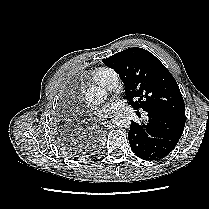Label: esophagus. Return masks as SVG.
Wrapping results in <instances>:
<instances>
[{"label":"esophagus","mask_w":209,"mask_h":209,"mask_svg":"<svg viewBox=\"0 0 209 209\" xmlns=\"http://www.w3.org/2000/svg\"><path fill=\"white\" fill-rule=\"evenodd\" d=\"M113 121V118H111V119H108L106 122H104L103 124H106V123H110V122H112Z\"/></svg>","instance_id":"esophagus-1"}]
</instances>
